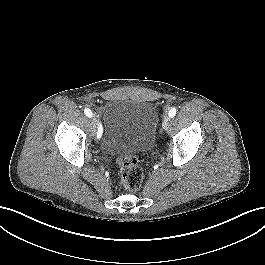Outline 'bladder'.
Listing matches in <instances>:
<instances>
[{
  "instance_id": "bladder-1",
  "label": "bladder",
  "mask_w": 265,
  "mask_h": 265,
  "mask_svg": "<svg viewBox=\"0 0 265 265\" xmlns=\"http://www.w3.org/2000/svg\"><path fill=\"white\" fill-rule=\"evenodd\" d=\"M158 120V111L149 102L109 100L105 105L100 147L118 158L145 154L154 144Z\"/></svg>"
}]
</instances>
